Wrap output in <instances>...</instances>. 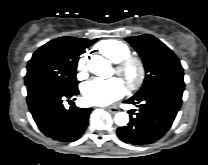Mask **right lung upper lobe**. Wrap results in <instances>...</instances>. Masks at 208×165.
I'll return each mask as SVG.
<instances>
[{
  "label": "right lung upper lobe",
  "mask_w": 208,
  "mask_h": 165,
  "mask_svg": "<svg viewBox=\"0 0 208 165\" xmlns=\"http://www.w3.org/2000/svg\"><path fill=\"white\" fill-rule=\"evenodd\" d=\"M63 38L73 43H82V42L89 41L88 39H80V38H74V37H63Z\"/></svg>",
  "instance_id": "1"
}]
</instances>
